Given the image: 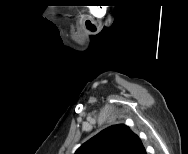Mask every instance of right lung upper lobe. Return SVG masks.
<instances>
[{"label": "right lung upper lobe", "mask_w": 188, "mask_h": 154, "mask_svg": "<svg viewBox=\"0 0 188 154\" xmlns=\"http://www.w3.org/2000/svg\"><path fill=\"white\" fill-rule=\"evenodd\" d=\"M75 154H146L140 138L124 124L113 125L79 147Z\"/></svg>", "instance_id": "1"}]
</instances>
